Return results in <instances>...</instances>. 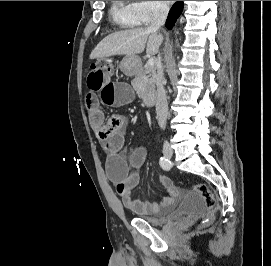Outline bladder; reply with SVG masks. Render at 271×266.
I'll use <instances>...</instances> for the list:
<instances>
[{"instance_id":"obj_1","label":"bladder","mask_w":271,"mask_h":266,"mask_svg":"<svg viewBox=\"0 0 271 266\" xmlns=\"http://www.w3.org/2000/svg\"><path fill=\"white\" fill-rule=\"evenodd\" d=\"M204 210L205 206L202 198L196 192H190L184 195L182 203L171 213H168L162 217L146 216L141 214L136 215V217L153 225H162L169 221L180 219L193 213H202Z\"/></svg>"}]
</instances>
